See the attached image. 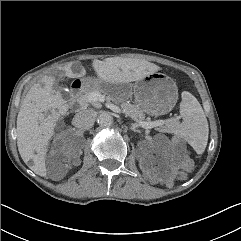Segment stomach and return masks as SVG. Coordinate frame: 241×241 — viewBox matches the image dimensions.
Instances as JSON below:
<instances>
[{
	"label": "stomach",
	"instance_id": "stomach-1",
	"mask_svg": "<svg viewBox=\"0 0 241 241\" xmlns=\"http://www.w3.org/2000/svg\"><path fill=\"white\" fill-rule=\"evenodd\" d=\"M87 88L99 87L103 93L119 100L133 94L135 106L152 117L170 112L177 103L178 89L172 78L164 73L155 72L135 81L134 84L110 83L98 78H83Z\"/></svg>",
	"mask_w": 241,
	"mask_h": 241
}]
</instances>
